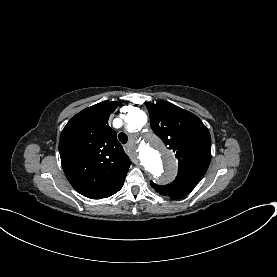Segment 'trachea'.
<instances>
[{"label":"trachea","instance_id":"3493384b","mask_svg":"<svg viewBox=\"0 0 277 277\" xmlns=\"http://www.w3.org/2000/svg\"><path fill=\"white\" fill-rule=\"evenodd\" d=\"M118 138L122 144H125L128 141V137L125 133H120Z\"/></svg>","mask_w":277,"mask_h":277}]
</instances>
